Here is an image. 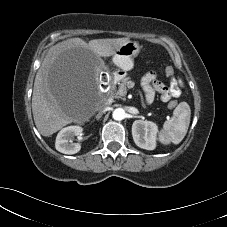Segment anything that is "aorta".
<instances>
[{"instance_id":"obj_1","label":"aorta","mask_w":227,"mask_h":227,"mask_svg":"<svg viewBox=\"0 0 227 227\" xmlns=\"http://www.w3.org/2000/svg\"><path fill=\"white\" fill-rule=\"evenodd\" d=\"M125 110L122 109V108H116L114 111H113V119L117 120V121H120V120H123L125 118Z\"/></svg>"}]
</instances>
